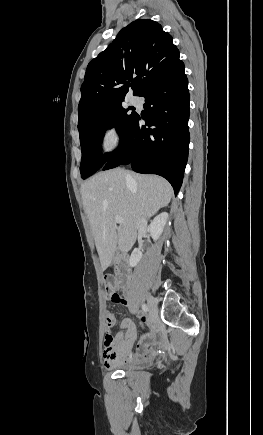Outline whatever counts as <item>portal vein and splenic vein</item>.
<instances>
[{"instance_id": "1", "label": "portal vein and splenic vein", "mask_w": 263, "mask_h": 435, "mask_svg": "<svg viewBox=\"0 0 263 435\" xmlns=\"http://www.w3.org/2000/svg\"><path fill=\"white\" fill-rule=\"evenodd\" d=\"M114 220H115V222L118 223V224H121V223L124 222V220H123L121 217H119V216H116V217L114 218Z\"/></svg>"}]
</instances>
